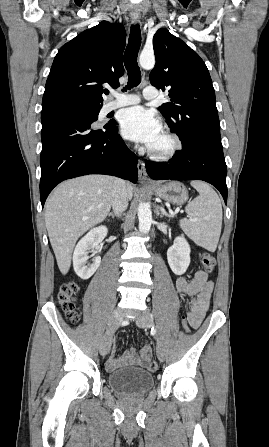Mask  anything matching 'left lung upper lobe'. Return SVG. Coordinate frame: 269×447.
<instances>
[{
	"label": "left lung upper lobe",
	"instance_id": "1",
	"mask_svg": "<svg viewBox=\"0 0 269 447\" xmlns=\"http://www.w3.org/2000/svg\"><path fill=\"white\" fill-rule=\"evenodd\" d=\"M153 48L156 65L150 82L163 91L169 89L171 103L159 110L179 136L182 149L189 150L200 141L221 143L215 91L203 60L164 28L154 35Z\"/></svg>",
	"mask_w": 269,
	"mask_h": 447
}]
</instances>
